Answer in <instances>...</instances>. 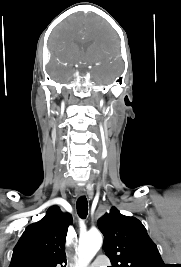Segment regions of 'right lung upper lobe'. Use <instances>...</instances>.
Wrapping results in <instances>:
<instances>
[{"mask_svg":"<svg viewBox=\"0 0 181 267\" xmlns=\"http://www.w3.org/2000/svg\"><path fill=\"white\" fill-rule=\"evenodd\" d=\"M70 214L58 206L48 209L45 217L29 225L13 250L9 267H65V240Z\"/></svg>","mask_w":181,"mask_h":267,"instance_id":"1","label":"right lung upper lobe"}]
</instances>
